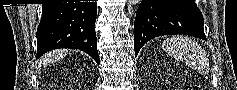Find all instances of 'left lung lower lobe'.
<instances>
[{"label": "left lung lower lobe", "mask_w": 237, "mask_h": 90, "mask_svg": "<svg viewBox=\"0 0 237 90\" xmlns=\"http://www.w3.org/2000/svg\"><path fill=\"white\" fill-rule=\"evenodd\" d=\"M204 19L194 0H142L134 22L135 57L149 40L183 34L206 40Z\"/></svg>", "instance_id": "obj_1"}]
</instances>
